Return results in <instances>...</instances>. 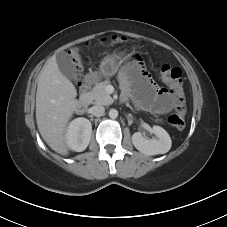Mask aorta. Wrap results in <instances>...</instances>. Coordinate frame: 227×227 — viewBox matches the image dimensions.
<instances>
[{
  "label": "aorta",
  "mask_w": 227,
  "mask_h": 227,
  "mask_svg": "<svg viewBox=\"0 0 227 227\" xmlns=\"http://www.w3.org/2000/svg\"><path fill=\"white\" fill-rule=\"evenodd\" d=\"M109 117H110L111 119L117 118V117H118V111H117L116 109H111V110L109 111Z\"/></svg>",
  "instance_id": "762f6f07"
}]
</instances>
